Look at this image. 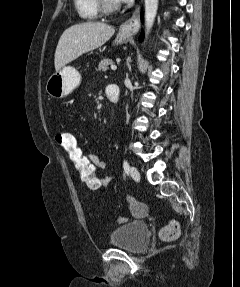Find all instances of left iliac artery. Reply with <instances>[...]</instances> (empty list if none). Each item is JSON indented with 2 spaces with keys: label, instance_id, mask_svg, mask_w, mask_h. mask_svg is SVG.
Returning a JSON list of instances; mask_svg holds the SVG:
<instances>
[{
  "label": "left iliac artery",
  "instance_id": "44dca946",
  "mask_svg": "<svg viewBox=\"0 0 240 287\" xmlns=\"http://www.w3.org/2000/svg\"><path fill=\"white\" fill-rule=\"evenodd\" d=\"M123 168H124L125 173L128 174L130 167H129V163L126 160H124Z\"/></svg>",
  "mask_w": 240,
  "mask_h": 287
}]
</instances>
